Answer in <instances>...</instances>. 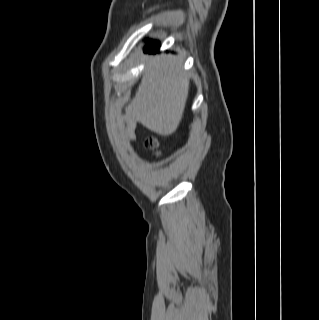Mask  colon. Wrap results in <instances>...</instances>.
<instances>
[{"mask_svg":"<svg viewBox=\"0 0 319 320\" xmlns=\"http://www.w3.org/2000/svg\"><path fill=\"white\" fill-rule=\"evenodd\" d=\"M145 145L148 149L155 150L159 147L160 141L156 137H148L145 140Z\"/></svg>","mask_w":319,"mask_h":320,"instance_id":"obj_1","label":"colon"}]
</instances>
